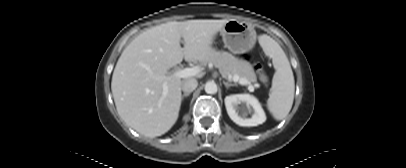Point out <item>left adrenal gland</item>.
Instances as JSON below:
<instances>
[{
    "label": "left adrenal gland",
    "instance_id": "left-adrenal-gland-1",
    "mask_svg": "<svg viewBox=\"0 0 406 168\" xmlns=\"http://www.w3.org/2000/svg\"><path fill=\"white\" fill-rule=\"evenodd\" d=\"M223 84L225 85L226 88H229L231 86H237V84H233V83H229V82H225V81H223Z\"/></svg>",
    "mask_w": 406,
    "mask_h": 168
}]
</instances>
